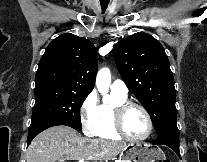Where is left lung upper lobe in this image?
<instances>
[{"mask_svg":"<svg viewBox=\"0 0 207 162\" xmlns=\"http://www.w3.org/2000/svg\"><path fill=\"white\" fill-rule=\"evenodd\" d=\"M114 58L127 87L151 115L156 132L176 127L174 78L162 45L138 32L115 44Z\"/></svg>","mask_w":207,"mask_h":162,"instance_id":"1","label":"left lung upper lobe"}]
</instances>
